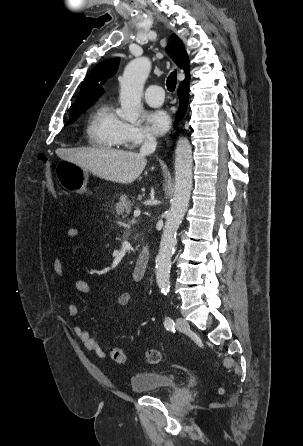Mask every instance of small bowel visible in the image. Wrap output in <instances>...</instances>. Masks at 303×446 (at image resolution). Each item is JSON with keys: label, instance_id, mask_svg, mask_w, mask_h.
<instances>
[{"label": "small bowel", "instance_id": "obj_1", "mask_svg": "<svg viewBox=\"0 0 303 446\" xmlns=\"http://www.w3.org/2000/svg\"><path fill=\"white\" fill-rule=\"evenodd\" d=\"M80 234L81 232L77 227H69L66 231V235L70 239H76L80 236ZM53 271L60 280L63 279L64 266L59 256L55 257L53 261ZM74 287L78 292L82 294L86 295L94 294L92 286L83 279L75 280ZM130 299H131V293L124 292L117 298V305L119 307H124L128 304ZM68 313L71 317H76L79 313L78 307L74 303H69ZM73 331L75 335L79 338V340L84 344L85 348L88 351L94 352L101 357L104 356V353L100 347L99 342L95 338H93L87 330H85L83 327L79 325H76L73 327Z\"/></svg>", "mask_w": 303, "mask_h": 446}]
</instances>
